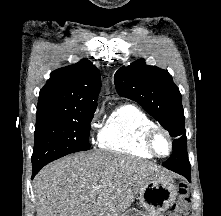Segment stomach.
<instances>
[{
  "label": "stomach",
  "instance_id": "obj_1",
  "mask_svg": "<svg viewBox=\"0 0 221 216\" xmlns=\"http://www.w3.org/2000/svg\"><path fill=\"white\" fill-rule=\"evenodd\" d=\"M177 187L169 177L155 178L143 185L139 191L142 211H126L122 216H163L174 204Z\"/></svg>",
  "mask_w": 221,
  "mask_h": 216
}]
</instances>
